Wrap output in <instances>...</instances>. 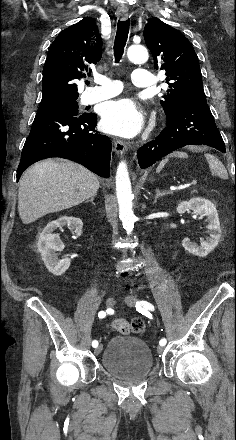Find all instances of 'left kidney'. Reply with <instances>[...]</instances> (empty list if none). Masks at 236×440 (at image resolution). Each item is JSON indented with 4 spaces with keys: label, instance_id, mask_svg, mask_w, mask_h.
Wrapping results in <instances>:
<instances>
[{
    "label": "left kidney",
    "instance_id": "1",
    "mask_svg": "<svg viewBox=\"0 0 236 440\" xmlns=\"http://www.w3.org/2000/svg\"><path fill=\"white\" fill-rule=\"evenodd\" d=\"M176 210L179 214H184L186 211L192 210L195 214L206 217L208 223L206 228L209 237H207L205 241H202L200 246L192 243L190 239L186 237L182 241V246L195 256H207L218 245L222 233L215 205L207 199L196 197L189 201L180 202Z\"/></svg>",
    "mask_w": 236,
    "mask_h": 440
}]
</instances>
